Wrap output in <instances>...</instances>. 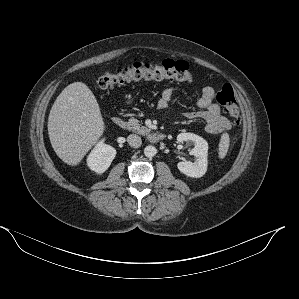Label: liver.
<instances>
[{
  "label": "liver",
  "mask_w": 299,
  "mask_h": 299,
  "mask_svg": "<svg viewBox=\"0 0 299 299\" xmlns=\"http://www.w3.org/2000/svg\"><path fill=\"white\" fill-rule=\"evenodd\" d=\"M99 104L82 82L69 84L55 100L48 118V134L57 156L77 165L104 132Z\"/></svg>",
  "instance_id": "6515ba94"
}]
</instances>
